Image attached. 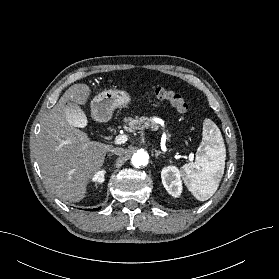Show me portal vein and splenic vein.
Wrapping results in <instances>:
<instances>
[{
    "label": "portal vein and splenic vein",
    "mask_w": 279,
    "mask_h": 279,
    "mask_svg": "<svg viewBox=\"0 0 279 279\" xmlns=\"http://www.w3.org/2000/svg\"><path fill=\"white\" fill-rule=\"evenodd\" d=\"M127 139H128V136L126 134L118 135L115 137L114 143L117 145H120V144L125 143L127 141ZM191 159H192V157H191Z\"/></svg>",
    "instance_id": "18ae733b"
}]
</instances>
